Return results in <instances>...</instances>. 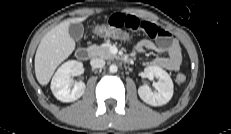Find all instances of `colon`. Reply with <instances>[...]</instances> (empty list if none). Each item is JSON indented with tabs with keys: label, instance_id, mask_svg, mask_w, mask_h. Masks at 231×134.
<instances>
[{
	"label": "colon",
	"instance_id": "colon-1",
	"mask_svg": "<svg viewBox=\"0 0 231 134\" xmlns=\"http://www.w3.org/2000/svg\"><path fill=\"white\" fill-rule=\"evenodd\" d=\"M94 34L103 38H111L120 40L123 42H131L135 39L134 35L129 31L111 27L109 25H98L93 28ZM176 81L180 84L186 81V76L182 73H179L176 76Z\"/></svg>",
	"mask_w": 231,
	"mask_h": 134
}]
</instances>
